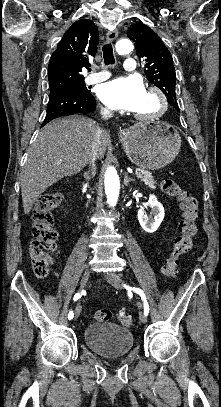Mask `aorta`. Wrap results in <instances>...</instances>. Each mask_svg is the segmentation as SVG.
Wrapping results in <instances>:
<instances>
[{
	"mask_svg": "<svg viewBox=\"0 0 221 407\" xmlns=\"http://www.w3.org/2000/svg\"><path fill=\"white\" fill-rule=\"evenodd\" d=\"M116 50L119 54H127L133 50V44L129 39H121L116 43ZM105 193L107 203L114 207L118 201L120 181L114 167L107 168L104 176Z\"/></svg>",
	"mask_w": 221,
	"mask_h": 407,
	"instance_id": "aorta-1",
	"label": "aorta"
}]
</instances>
